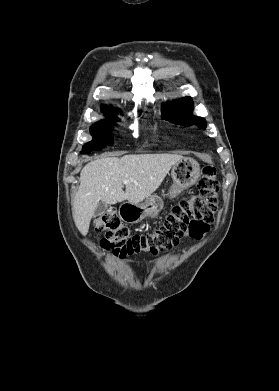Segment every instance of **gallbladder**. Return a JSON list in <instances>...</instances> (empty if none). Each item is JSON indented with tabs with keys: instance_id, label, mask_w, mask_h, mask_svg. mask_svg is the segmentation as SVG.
Instances as JSON below:
<instances>
[{
	"instance_id": "obj_1",
	"label": "gallbladder",
	"mask_w": 279,
	"mask_h": 391,
	"mask_svg": "<svg viewBox=\"0 0 279 391\" xmlns=\"http://www.w3.org/2000/svg\"><path fill=\"white\" fill-rule=\"evenodd\" d=\"M108 208V204L104 203V202H99V204L97 205L95 211H94V217H99L101 215H103L105 213V211L107 210Z\"/></svg>"
}]
</instances>
